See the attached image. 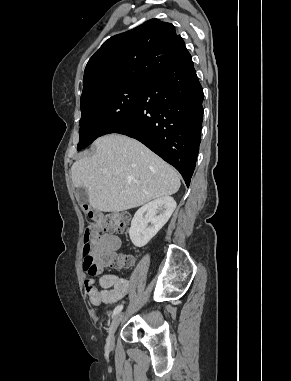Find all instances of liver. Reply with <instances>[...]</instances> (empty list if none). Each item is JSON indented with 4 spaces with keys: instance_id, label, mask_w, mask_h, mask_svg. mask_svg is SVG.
Segmentation results:
<instances>
[{
    "instance_id": "6515ba94",
    "label": "liver",
    "mask_w": 291,
    "mask_h": 381,
    "mask_svg": "<svg viewBox=\"0 0 291 381\" xmlns=\"http://www.w3.org/2000/svg\"><path fill=\"white\" fill-rule=\"evenodd\" d=\"M94 145L93 156L71 167L74 187L87 190L92 208L121 212L179 190L178 173L139 141L110 134Z\"/></svg>"
}]
</instances>
